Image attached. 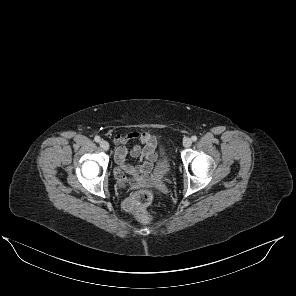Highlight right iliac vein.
Masks as SVG:
<instances>
[{"label":"right iliac vein","mask_w":296,"mask_h":296,"mask_svg":"<svg viewBox=\"0 0 296 296\" xmlns=\"http://www.w3.org/2000/svg\"><path fill=\"white\" fill-rule=\"evenodd\" d=\"M100 146L103 150L107 151L109 149V143L105 140L100 141Z\"/></svg>","instance_id":"obj_1"}]
</instances>
